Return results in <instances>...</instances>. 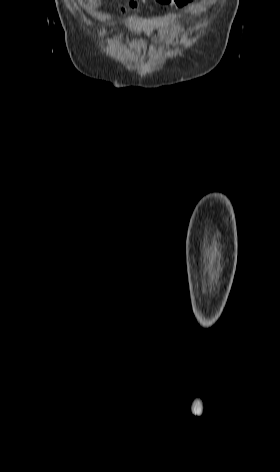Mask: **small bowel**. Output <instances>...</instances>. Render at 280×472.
Masks as SVG:
<instances>
[{
	"mask_svg": "<svg viewBox=\"0 0 280 472\" xmlns=\"http://www.w3.org/2000/svg\"><path fill=\"white\" fill-rule=\"evenodd\" d=\"M175 5L179 8L187 7L190 5L194 0H179Z\"/></svg>",
	"mask_w": 280,
	"mask_h": 472,
	"instance_id": "small-bowel-1",
	"label": "small bowel"
}]
</instances>
